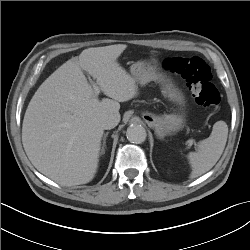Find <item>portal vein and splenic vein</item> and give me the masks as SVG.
<instances>
[{
	"instance_id": "1",
	"label": "portal vein and splenic vein",
	"mask_w": 250,
	"mask_h": 250,
	"mask_svg": "<svg viewBox=\"0 0 250 250\" xmlns=\"http://www.w3.org/2000/svg\"><path fill=\"white\" fill-rule=\"evenodd\" d=\"M93 89H94V91H95L96 94L100 93V88L97 86L96 83H93ZM189 143L190 144H194L195 142L193 140H190Z\"/></svg>"
}]
</instances>
